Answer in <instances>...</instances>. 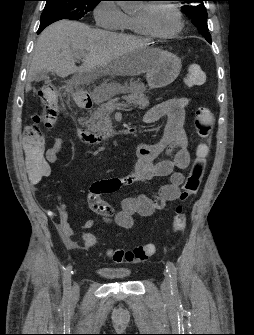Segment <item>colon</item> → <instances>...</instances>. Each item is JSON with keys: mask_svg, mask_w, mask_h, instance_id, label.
<instances>
[{"mask_svg": "<svg viewBox=\"0 0 254 335\" xmlns=\"http://www.w3.org/2000/svg\"><path fill=\"white\" fill-rule=\"evenodd\" d=\"M204 80V72L197 64L187 67L184 82L187 86H198ZM40 95L45 101V111L35 117L34 124L27 127L24 136V150L22 161L25 178H51L52 172L47 159H43L44 137L40 125L51 127L58 113V98L54 87L44 86ZM194 122L197 134L200 138L210 136L214 116L208 107H198L194 113ZM209 149L206 144H200L196 150V157L180 193L181 202L186 201L190 196L198 192L207 166ZM186 226V215L182 204L175 208V214L171 223V230L175 233L181 232ZM87 248H95L98 240L94 235L86 234L83 238ZM156 252V245L148 243L135 247L131 250L113 249L107 252V256L115 263L136 264L144 262Z\"/></svg>", "mask_w": 254, "mask_h": 335, "instance_id": "obj_1", "label": "colon"}]
</instances>
